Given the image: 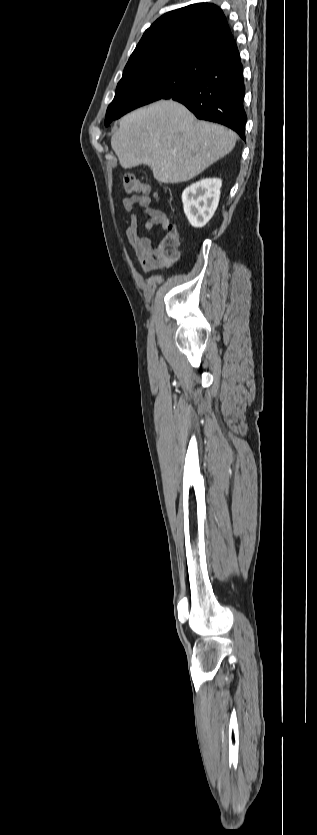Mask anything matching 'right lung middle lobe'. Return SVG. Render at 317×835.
<instances>
[{
  "label": "right lung middle lobe",
  "instance_id": "1",
  "mask_svg": "<svg viewBox=\"0 0 317 835\" xmlns=\"http://www.w3.org/2000/svg\"><path fill=\"white\" fill-rule=\"evenodd\" d=\"M204 70L195 57L145 67L123 75L106 112L105 125L127 112L163 99L175 90L201 81Z\"/></svg>",
  "mask_w": 317,
  "mask_h": 835
}]
</instances>
